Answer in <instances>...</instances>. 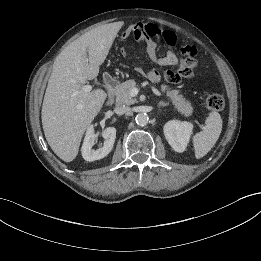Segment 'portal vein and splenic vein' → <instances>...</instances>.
Listing matches in <instances>:
<instances>
[{"instance_id":"obj_1","label":"portal vein and splenic vein","mask_w":261,"mask_h":261,"mask_svg":"<svg viewBox=\"0 0 261 261\" xmlns=\"http://www.w3.org/2000/svg\"><path fill=\"white\" fill-rule=\"evenodd\" d=\"M82 90L84 92H90L92 90V86L91 85H84L82 87ZM138 92H139V90L137 88H132L131 91H130V95L132 97H135V96H137Z\"/></svg>"}]
</instances>
